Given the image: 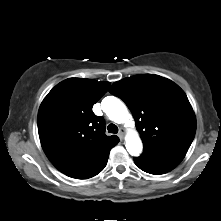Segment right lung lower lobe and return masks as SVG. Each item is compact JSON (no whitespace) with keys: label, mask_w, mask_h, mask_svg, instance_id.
Here are the masks:
<instances>
[{"label":"right lung lower lobe","mask_w":221,"mask_h":221,"mask_svg":"<svg viewBox=\"0 0 221 221\" xmlns=\"http://www.w3.org/2000/svg\"><path fill=\"white\" fill-rule=\"evenodd\" d=\"M109 152L105 154L103 157H101L99 160L94 162L93 164L83 167L81 169L70 171L66 173V175L76 179H87L97 175L106 166L109 157Z\"/></svg>","instance_id":"1"}]
</instances>
